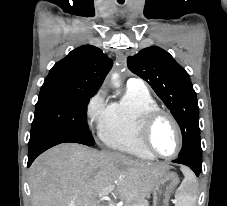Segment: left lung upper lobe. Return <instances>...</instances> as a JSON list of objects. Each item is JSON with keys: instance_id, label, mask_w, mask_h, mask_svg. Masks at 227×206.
<instances>
[{"instance_id": "1", "label": "left lung upper lobe", "mask_w": 227, "mask_h": 206, "mask_svg": "<svg viewBox=\"0 0 227 206\" xmlns=\"http://www.w3.org/2000/svg\"><path fill=\"white\" fill-rule=\"evenodd\" d=\"M127 65L153 88L178 122L183 137L178 156L202 159L199 107L189 74L168 52L157 46L128 57Z\"/></svg>"}]
</instances>
